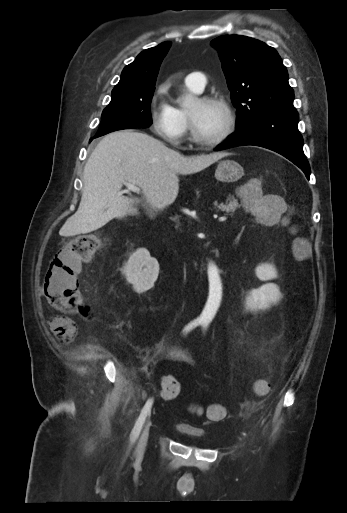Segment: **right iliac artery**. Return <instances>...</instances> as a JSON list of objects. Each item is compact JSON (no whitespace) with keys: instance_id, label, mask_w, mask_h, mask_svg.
<instances>
[{"instance_id":"right-iliac-artery-1","label":"right iliac artery","mask_w":347,"mask_h":513,"mask_svg":"<svg viewBox=\"0 0 347 513\" xmlns=\"http://www.w3.org/2000/svg\"><path fill=\"white\" fill-rule=\"evenodd\" d=\"M201 323V320H194L192 322H190L185 328H184V332H188L190 331L191 329H193L194 327H196L197 325H199ZM152 404H153V399H149L146 404L144 405V407L142 408L141 410V413L134 425V428L132 429V432L130 434V442L131 444H133L137 438L139 437V434L141 432V429H142V426L145 422V419L147 417V415L149 414L150 412V409L152 407Z\"/></svg>"}]
</instances>
